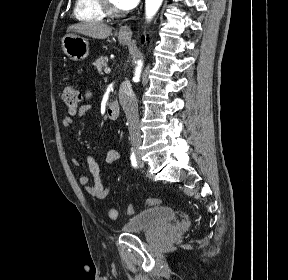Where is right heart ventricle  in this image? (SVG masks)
Wrapping results in <instances>:
<instances>
[{"mask_svg": "<svg viewBox=\"0 0 288 280\" xmlns=\"http://www.w3.org/2000/svg\"><path fill=\"white\" fill-rule=\"evenodd\" d=\"M74 15L84 22H101L106 16L99 0H76Z\"/></svg>", "mask_w": 288, "mask_h": 280, "instance_id": "1", "label": "right heart ventricle"}]
</instances>
